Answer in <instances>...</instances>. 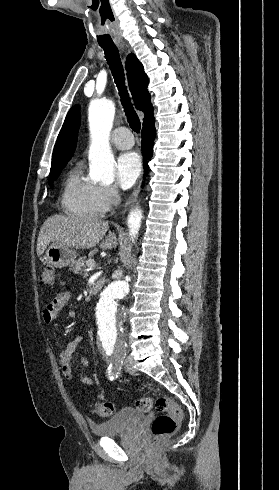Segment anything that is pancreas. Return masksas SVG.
I'll use <instances>...</instances> for the list:
<instances>
[{
  "instance_id": "pancreas-1",
  "label": "pancreas",
  "mask_w": 279,
  "mask_h": 490,
  "mask_svg": "<svg viewBox=\"0 0 279 490\" xmlns=\"http://www.w3.org/2000/svg\"><path fill=\"white\" fill-rule=\"evenodd\" d=\"M83 268H85V262H83V260H77V262H74V264H71L70 266V270L73 274H79V272H82Z\"/></svg>"
}]
</instances>
